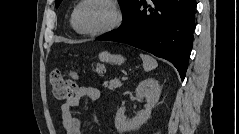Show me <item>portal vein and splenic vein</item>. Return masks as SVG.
I'll return each instance as SVG.
<instances>
[{
    "mask_svg": "<svg viewBox=\"0 0 239 134\" xmlns=\"http://www.w3.org/2000/svg\"><path fill=\"white\" fill-rule=\"evenodd\" d=\"M126 79H127V77H125V76L122 77V80H126Z\"/></svg>",
    "mask_w": 239,
    "mask_h": 134,
    "instance_id": "portal-vein-and-splenic-vein-1",
    "label": "portal vein and splenic vein"
}]
</instances>
